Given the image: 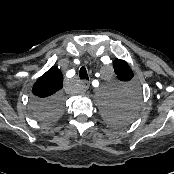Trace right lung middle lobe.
<instances>
[{
    "label": "right lung middle lobe",
    "instance_id": "1",
    "mask_svg": "<svg viewBox=\"0 0 174 174\" xmlns=\"http://www.w3.org/2000/svg\"><path fill=\"white\" fill-rule=\"evenodd\" d=\"M35 119L48 122L56 119L62 112L63 104L60 94L49 98H36L32 105Z\"/></svg>",
    "mask_w": 174,
    "mask_h": 174
}]
</instances>
